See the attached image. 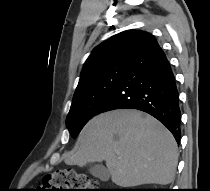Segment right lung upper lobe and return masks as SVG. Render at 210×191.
<instances>
[{
  "label": "right lung upper lobe",
  "mask_w": 210,
  "mask_h": 191,
  "mask_svg": "<svg viewBox=\"0 0 210 191\" xmlns=\"http://www.w3.org/2000/svg\"><path fill=\"white\" fill-rule=\"evenodd\" d=\"M151 35L140 30H127L98 45L84 63L76 90L98 68L118 59L131 60Z\"/></svg>",
  "instance_id": "right-lung-upper-lobe-1"
}]
</instances>
